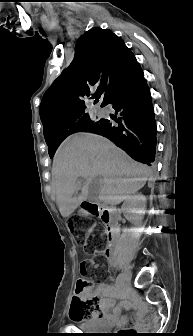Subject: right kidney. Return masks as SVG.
<instances>
[{"mask_svg": "<svg viewBox=\"0 0 193 336\" xmlns=\"http://www.w3.org/2000/svg\"><path fill=\"white\" fill-rule=\"evenodd\" d=\"M122 208L134 216L143 215L146 208V197L142 194L128 196L125 199Z\"/></svg>", "mask_w": 193, "mask_h": 336, "instance_id": "ca27d5eb", "label": "right kidney"}]
</instances>
